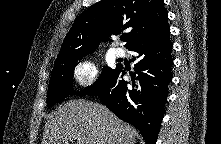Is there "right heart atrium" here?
Here are the masks:
<instances>
[{
    "instance_id": "d8ad5b80",
    "label": "right heart atrium",
    "mask_w": 221,
    "mask_h": 144,
    "mask_svg": "<svg viewBox=\"0 0 221 144\" xmlns=\"http://www.w3.org/2000/svg\"><path fill=\"white\" fill-rule=\"evenodd\" d=\"M99 74L98 66L91 60L79 62L73 70V78L79 87H89L93 85Z\"/></svg>"
}]
</instances>
